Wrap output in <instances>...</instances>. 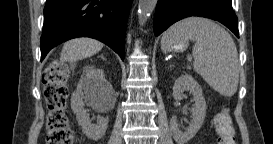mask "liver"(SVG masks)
Wrapping results in <instances>:
<instances>
[{
    "instance_id": "1",
    "label": "liver",
    "mask_w": 273,
    "mask_h": 144,
    "mask_svg": "<svg viewBox=\"0 0 273 144\" xmlns=\"http://www.w3.org/2000/svg\"><path fill=\"white\" fill-rule=\"evenodd\" d=\"M103 48V43L98 40L82 37L72 39L63 46L60 61L76 62L81 59L91 57Z\"/></svg>"
}]
</instances>
